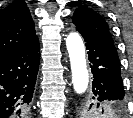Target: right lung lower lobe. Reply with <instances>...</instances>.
I'll use <instances>...</instances> for the list:
<instances>
[{"instance_id":"obj_1","label":"right lung lower lobe","mask_w":133,"mask_h":118,"mask_svg":"<svg viewBox=\"0 0 133 118\" xmlns=\"http://www.w3.org/2000/svg\"><path fill=\"white\" fill-rule=\"evenodd\" d=\"M39 41L0 59V118H24L39 68Z\"/></svg>"}]
</instances>
